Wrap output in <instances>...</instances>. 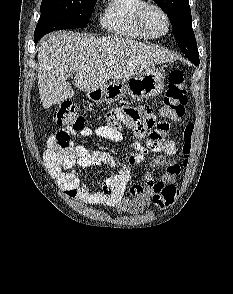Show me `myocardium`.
<instances>
[{"mask_svg":"<svg viewBox=\"0 0 233 294\" xmlns=\"http://www.w3.org/2000/svg\"><path fill=\"white\" fill-rule=\"evenodd\" d=\"M150 11H156L162 15L166 23V29L162 33H155L149 26L147 15ZM137 19L140 27L153 38H160L167 35L171 29V20L164 8L156 3L146 2L138 11Z\"/></svg>","mask_w":233,"mask_h":294,"instance_id":"myocardium-1","label":"myocardium"}]
</instances>
